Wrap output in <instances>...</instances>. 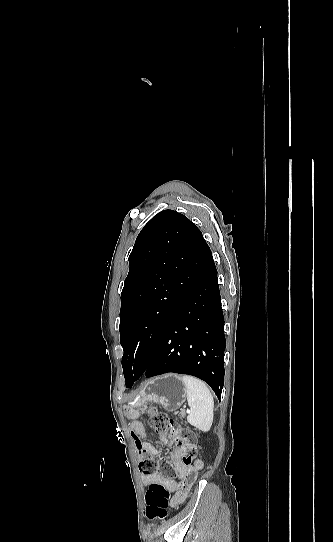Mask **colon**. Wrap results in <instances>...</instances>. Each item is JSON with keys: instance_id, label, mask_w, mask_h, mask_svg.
Instances as JSON below:
<instances>
[{"instance_id": "1", "label": "colon", "mask_w": 333, "mask_h": 542, "mask_svg": "<svg viewBox=\"0 0 333 542\" xmlns=\"http://www.w3.org/2000/svg\"><path fill=\"white\" fill-rule=\"evenodd\" d=\"M149 427L161 437L173 439L185 452L183 463L189 465L195 459L199 452L198 437L186 425L176 422L162 411L149 409L147 412ZM161 433H164L162 435ZM139 470L144 475L156 474L158 471L171 475L173 468L167 460L154 458H145L139 464ZM192 477H188L180 486L176 493L161 483L150 485L145 495V516L149 520H163L168 516L170 501L174 496L186 495L192 484Z\"/></svg>"}]
</instances>
